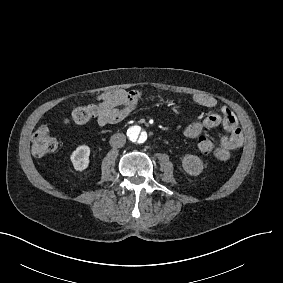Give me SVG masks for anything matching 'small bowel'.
Here are the masks:
<instances>
[{"mask_svg":"<svg viewBox=\"0 0 283 283\" xmlns=\"http://www.w3.org/2000/svg\"><path fill=\"white\" fill-rule=\"evenodd\" d=\"M144 94L140 90H126L115 88L96 96L97 105L96 119L100 126L116 124L124 120L137 106ZM193 101L205 108H214L218 105L215 97L198 93L193 96ZM222 126L225 133L220 138L221 151L213 155L220 161H227L231 157V152L240 148L244 143L242 130L239 127L234 112L222 106L217 112H212L202 121L190 123L184 130L186 137L190 138L193 131L204 128H214Z\"/></svg>","mask_w":283,"mask_h":283,"instance_id":"c3829d8e","label":"small bowel"}]
</instances>
